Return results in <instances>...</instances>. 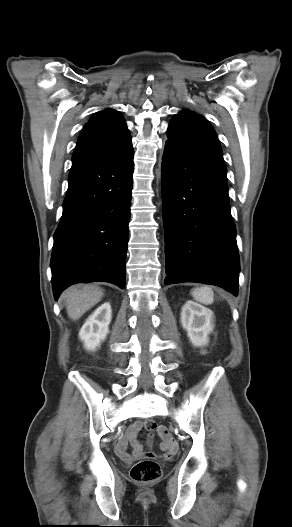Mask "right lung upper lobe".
<instances>
[{
    "mask_svg": "<svg viewBox=\"0 0 292 527\" xmlns=\"http://www.w3.org/2000/svg\"><path fill=\"white\" fill-rule=\"evenodd\" d=\"M132 147L131 136L123 117L113 109L98 112L84 126L73 158L98 157L122 152Z\"/></svg>",
    "mask_w": 292,
    "mask_h": 527,
    "instance_id": "cb5924a9",
    "label": "right lung upper lobe"
}]
</instances>
